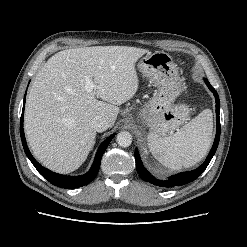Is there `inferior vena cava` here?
Masks as SVG:
<instances>
[{
  "label": "inferior vena cava",
  "mask_w": 247,
  "mask_h": 247,
  "mask_svg": "<svg viewBox=\"0 0 247 247\" xmlns=\"http://www.w3.org/2000/svg\"><path fill=\"white\" fill-rule=\"evenodd\" d=\"M92 128L97 132H103L109 128L108 120L103 116H96L91 122Z\"/></svg>",
  "instance_id": "602c4592"
}]
</instances>
